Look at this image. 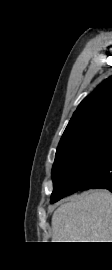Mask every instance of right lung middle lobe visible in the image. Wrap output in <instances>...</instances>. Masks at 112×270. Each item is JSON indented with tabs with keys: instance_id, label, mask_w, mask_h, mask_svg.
I'll return each mask as SVG.
<instances>
[{
	"instance_id": "dd1d6c3e",
	"label": "right lung middle lobe",
	"mask_w": 112,
	"mask_h": 270,
	"mask_svg": "<svg viewBox=\"0 0 112 270\" xmlns=\"http://www.w3.org/2000/svg\"><path fill=\"white\" fill-rule=\"evenodd\" d=\"M112 143V122L92 127L57 147L52 168L51 203L80 190L85 170L99 160Z\"/></svg>"
}]
</instances>
